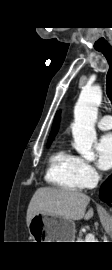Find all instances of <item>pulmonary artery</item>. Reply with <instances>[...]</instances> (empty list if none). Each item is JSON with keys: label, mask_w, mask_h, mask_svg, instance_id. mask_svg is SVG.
<instances>
[{"label": "pulmonary artery", "mask_w": 112, "mask_h": 270, "mask_svg": "<svg viewBox=\"0 0 112 270\" xmlns=\"http://www.w3.org/2000/svg\"><path fill=\"white\" fill-rule=\"evenodd\" d=\"M97 126L101 130H110L112 129V116L106 115L99 120Z\"/></svg>", "instance_id": "pulmonary-artery-1"}]
</instances>
